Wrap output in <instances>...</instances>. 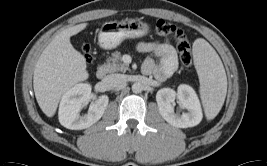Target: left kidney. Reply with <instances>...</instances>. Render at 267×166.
<instances>
[{"instance_id":"1","label":"left kidney","mask_w":267,"mask_h":166,"mask_svg":"<svg viewBox=\"0 0 267 166\" xmlns=\"http://www.w3.org/2000/svg\"><path fill=\"white\" fill-rule=\"evenodd\" d=\"M186 109L187 113L174 112L175 100ZM161 116L171 125L178 128H188L198 125L202 118L201 104L194 89L186 84L178 87L177 92L171 88H162L156 94Z\"/></svg>"}]
</instances>
